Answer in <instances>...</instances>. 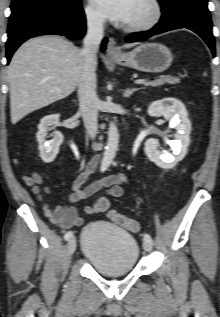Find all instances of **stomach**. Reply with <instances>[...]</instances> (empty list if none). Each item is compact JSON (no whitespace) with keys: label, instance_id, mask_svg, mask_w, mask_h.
I'll use <instances>...</instances> for the list:
<instances>
[{"label":"stomach","instance_id":"obj_1","mask_svg":"<svg viewBox=\"0 0 220 317\" xmlns=\"http://www.w3.org/2000/svg\"><path fill=\"white\" fill-rule=\"evenodd\" d=\"M111 60L121 66L142 72L158 73L168 69L172 63V53L160 43H143L129 53H123Z\"/></svg>","mask_w":220,"mask_h":317}]
</instances>
